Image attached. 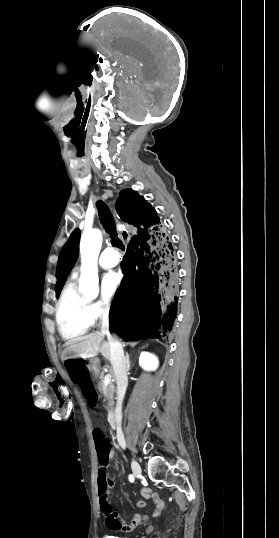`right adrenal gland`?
<instances>
[{
    "instance_id": "1",
    "label": "right adrenal gland",
    "mask_w": 279,
    "mask_h": 538,
    "mask_svg": "<svg viewBox=\"0 0 279 538\" xmlns=\"http://www.w3.org/2000/svg\"><path fill=\"white\" fill-rule=\"evenodd\" d=\"M125 362H126V364H127V366H128V370H129V368H130V360H129V354H128V352H126Z\"/></svg>"
}]
</instances>
